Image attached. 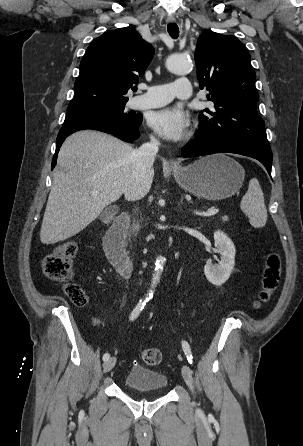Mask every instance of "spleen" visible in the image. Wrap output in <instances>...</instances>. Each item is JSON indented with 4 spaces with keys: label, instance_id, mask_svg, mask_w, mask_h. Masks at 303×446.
I'll return each instance as SVG.
<instances>
[{
    "label": "spleen",
    "instance_id": "3e777b00",
    "mask_svg": "<svg viewBox=\"0 0 303 446\" xmlns=\"http://www.w3.org/2000/svg\"><path fill=\"white\" fill-rule=\"evenodd\" d=\"M241 210L249 217L250 224L255 228H262L267 221V210L259 181L252 178L248 190L240 204Z\"/></svg>",
    "mask_w": 303,
    "mask_h": 446
}]
</instances>
